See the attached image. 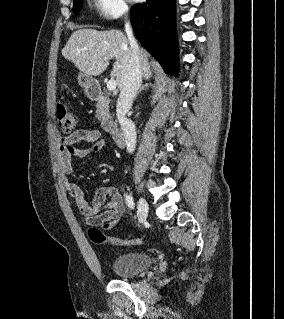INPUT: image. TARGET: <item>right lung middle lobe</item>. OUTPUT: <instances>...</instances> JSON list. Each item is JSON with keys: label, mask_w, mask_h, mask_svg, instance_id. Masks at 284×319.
I'll return each instance as SVG.
<instances>
[{"label": "right lung middle lobe", "mask_w": 284, "mask_h": 319, "mask_svg": "<svg viewBox=\"0 0 284 319\" xmlns=\"http://www.w3.org/2000/svg\"><path fill=\"white\" fill-rule=\"evenodd\" d=\"M82 8V0H74L73 12L76 13Z\"/></svg>", "instance_id": "dd1d6c3e"}]
</instances>
